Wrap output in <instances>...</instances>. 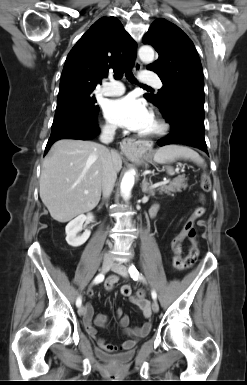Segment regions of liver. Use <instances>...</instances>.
I'll list each match as a JSON object with an SVG mask.
<instances>
[{"label": "liver", "instance_id": "6515ba94", "mask_svg": "<svg viewBox=\"0 0 247 385\" xmlns=\"http://www.w3.org/2000/svg\"><path fill=\"white\" fill-rule=\"evenodd\" d=\"M108 152L119 172L121 156L115 150ZM105 153L104 146L87 140L61 139L52 145L43 162L39 184L40 198L54 220L68 222L98 205Z\"/></svg>", "mask_w": 247, "mask_h": 385}]
</instances>
